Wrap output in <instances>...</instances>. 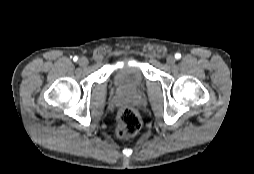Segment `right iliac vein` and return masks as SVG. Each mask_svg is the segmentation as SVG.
<instances>
[{"mask_svg": "<svg viewBox=\"0 0 254 174\" xmlns=\"http://www.w3.org/2000/svg\"><path fill=\"white\" fill-rule=\"evenodd\" d=\"M78 63L80 66L82 67H85L89 64V61L86 57H81L79 60H78Z\"/></svg>", "mask_w": 254, "mask_h": 174, "instance_id": "obj_1", "label": "right iliac vein"}]
</instances>
